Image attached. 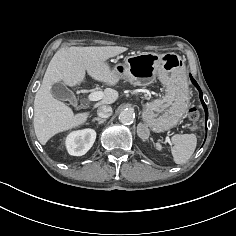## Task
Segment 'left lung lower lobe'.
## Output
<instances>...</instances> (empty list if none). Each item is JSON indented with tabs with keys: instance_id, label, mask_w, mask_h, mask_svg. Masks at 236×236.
<instances>
[{
	"instance_id": "0a47b994",
	"label": "left lung lower lobe",
	"mask_w": 236,
	"mask_h": 236,
	"mask_svg": "<svg viewBox=\"0 0 236 236\" xmlns=\"http://www.w3.org/2000/svg\"><path fill=\"white\" fill-rule=\"evenodd\" d=\"M190 78H191L192 83L196 86V88H197L198 91H199L200 100H201V103H202V105H203V107H204L205 114H206L205 123H206V131H207L208 110H207L206 104H205L204 101H203L202 91H201L200 87L198 86L197 82L193 79V77H192L191 75H190Z\"/></svg>"
}]
</instances>
